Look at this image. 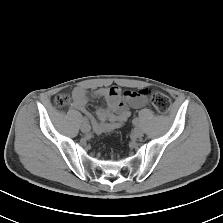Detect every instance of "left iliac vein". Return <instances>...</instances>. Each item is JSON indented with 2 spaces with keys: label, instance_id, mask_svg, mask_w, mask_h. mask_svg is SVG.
I'll return each instance as SVG.
<instances>
[{
  "label": "left iliac vein",
  "instance_id": "left-iliac-vein-1",
  "mask_svg": "<svg viewBox=\"0 0 223 223\" xmlns=\"http://www.w3.org/2000/svg\"><path fill=\"white\" fill-rule=\"evenodd\" d=\"M132 135L135 138H141L143 136V130L140 127H136L134 128Z\"/></svg>",
  "mask_w": 223,
  "mask_h": 223
}]
</instances>
